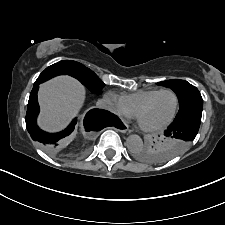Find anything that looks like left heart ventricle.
<instances>
[{"label": "left heart ventricle", "mask_w": 225, "mask_h": 225, "mask_svg": "<svg viewBox=\"0 0 225 225\" xmlns=\"http://www.w3.org/2000/svg\"><path fill=\"white\" fill-rule=\"evenodd\" d=\"M174 108V95L171 93H162L143 111L141 123L147 127L158 126L170 118Z\"/></svg>", "instance_id": "b2bd125f"}]
</instances>
